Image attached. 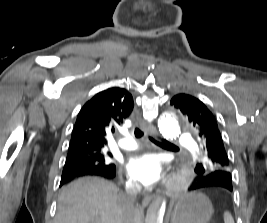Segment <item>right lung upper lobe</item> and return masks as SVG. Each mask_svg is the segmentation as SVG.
Instances as JSON below:
<instances>
[{
  "instance_id": "obj_1",
  "label": "right lung upper lobe",
  "mask_w": 267,
  "mask_h": 223,
  "mask_svg": "<svg viewBox=\"0 0 267 223\" xmlns=\"http://www.w3.org/2000/svg\"><path fill=\"white\" fill-rule=\"evenodd\" d=\"M134 107L131 94L112 87L96 94L80 110L72 132L69 151L86 146L103 149L110 128L121 125Z\"/></svg>"
}]
</instances>
